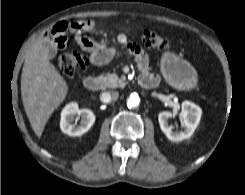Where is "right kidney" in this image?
<instances>
[{
	"mask_svg": "<svg viewBox=\"0 0 245 195\" xmlns=\"http://www.w3.org/2000/svg\"><path fill=\"white\" fill-rule=\"evenodd\" d=\"M81 118L80 124H74ZM95 122V115L89 109H79L76 102L69 103L61 112L60 128L69 136H81L86 133Z\"/></svg>",
	"mask_w": 245,
	"mask_h": 195,
	"instance_id": "1",
	"label": "right kidney"
}]
</instances>
